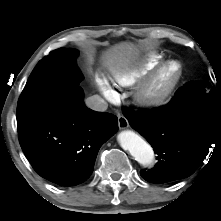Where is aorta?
<instances>
[{"mask_svg": "<svg viewBox=\"0 0 221 221\" xmlns=\"http://www.w3.org/2000/svg\"><path fill=\"white\" fill-rule=\"evenodd\" d=\"M117 140L120 146L141 165L148 166L153 162L154 151L152 147L135 132L131 130L121 131Z\"/></svg>", "mask_w": 221, "mask_h": 221, "instance_id": "obj_1", "label": "aorta"}]
</instances>
